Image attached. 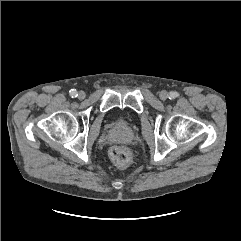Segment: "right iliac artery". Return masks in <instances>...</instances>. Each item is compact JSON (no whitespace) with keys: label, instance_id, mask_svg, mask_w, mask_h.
Segmentation results:
<instances>
[{"label":"right iliac artery","instance_id":"right-iliac-artery-1","mask_svg":"<svg viewBox=\"0 0 241 241\" xmlns=\"http://www.w3.org/2000/svg\"><path fill=\"white\" fill-rule=\"evenodd\" d=\"M69 93H70V96H71L72 98H75V97L78 96V93H77V91H76L75 89H71V90L69 91Z\"/></svg>","mask_w":241,"mask_h":241}]
</instances>
